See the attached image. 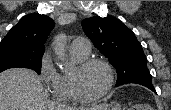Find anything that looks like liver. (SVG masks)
Listing matches in <instances>:
<instances>
[{
	"label": "liver",
	"instance_id": "1",
	"mask_svg": "<svg viewBox=\"0 0 171 110\" xmlns=\"http://www.w3.org/2000/svg\"><path fill=\"white\" fill-rule=\"evenodd\" d=\"M0 110H89L55 104L47 99L44 84L30 69L15 68L0 73Z\"/></svg>",
	"mask_w": 171,
	"mask_h": 110
}]
</instances>
